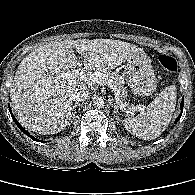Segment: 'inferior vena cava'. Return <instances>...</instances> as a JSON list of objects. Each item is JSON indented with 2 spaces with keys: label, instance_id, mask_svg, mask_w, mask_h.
Instances as JSON below:
<instances>
[{
  "label": "inferior vena cava",
  "instance_id": "obj_1",
  "mask_svg": "<svg viewBox=\"0 0 195 195\" xmlns=\"http://www.w3.org/2000/svg\"><path fill=\"white\" fill-rule=\"evenodd\" d=\"M71 95L74 101L81 102L85 101L89 97L90 93L87 87L84 85H79L74 88Z\"/></svg>",
  "mask_w": 195,
  "mask_h": 195
}]
</instances>
